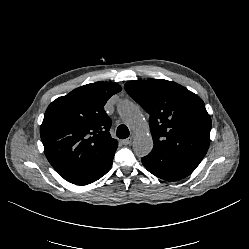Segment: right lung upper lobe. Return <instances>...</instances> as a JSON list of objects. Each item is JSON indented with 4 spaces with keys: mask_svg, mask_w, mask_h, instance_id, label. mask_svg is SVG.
Here are the masks:
<instances>
[{
    "mask_svg": "<svg viewBox=\"0 0 249 249\" xmlns=\"http://www.w3.org/2000/svg\"><path fill=\"white\" fill-rule=\"evenodd\" d=\"M120 91L117 83L96 82L48 106L40 127L41 140L48 161L65 180L82 176L117 149L104 106Z\"/></svg>",
    "mask_w": 249,
    "mask_h": 249,
    "instance_id": "1",
    "label": "right lung upper lobe"
}]
</instances>
